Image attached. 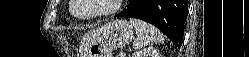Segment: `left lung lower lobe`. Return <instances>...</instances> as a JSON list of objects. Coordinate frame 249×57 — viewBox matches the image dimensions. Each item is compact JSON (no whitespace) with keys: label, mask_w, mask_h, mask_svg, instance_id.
<instances>
[{"label":"left lung lower lobe","mask_w":249,"mask_h":57,"mask_svg":"<svg viewBox=\"0 0 249 57\" xmlns=\"http://www.w3.org/2000/svg\"><path fill=\"white\" fill-rule=\"evenodd\" d=\"M187 0H130L116 17H134L160 29L176 46L183 42Z\"/></svg>","instance_id":"left-lung-lower-lobe-1"}]
</instances>
